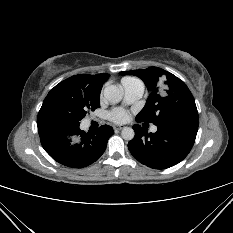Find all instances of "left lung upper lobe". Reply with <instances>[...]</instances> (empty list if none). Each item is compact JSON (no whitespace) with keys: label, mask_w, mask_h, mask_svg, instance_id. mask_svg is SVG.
<instances>
[{"label":"left lung upper lobe","mask_w":233,"mask_h":233,"mask_svg":"<svg viewBox=\"0 0 233 233\" xmlns=\"http://www.w3.org/2000/svg\"><path fill=\"white\" fill-rule=\"evenodd\" d=\"M141 78L150 95L138 121L152 122L162 126L180 122H198V111L192 93L186 84L175 75L158 67L120 72Z\"/></svg>","instance_id":"1"}]
</instances>
